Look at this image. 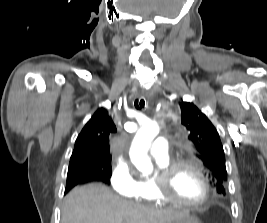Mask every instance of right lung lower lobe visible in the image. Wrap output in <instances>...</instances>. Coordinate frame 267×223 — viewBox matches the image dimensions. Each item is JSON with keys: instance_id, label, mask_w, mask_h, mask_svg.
Segmentation results:
<instances>
[{"instance_id": "98d812e1", "label": "right lung lower lobe", "mask_w": 267, "mask_h": 223, "mask_svg": "<svg viewBox=\"0 0 267 223\" xmlns=\"http://www.w3.org/2000/svg\"><path fill=\"white\" fill-rule=\"evenodd\" d=\"M92 180L102 181L106 183L108 181V178L102 175L101 173L97 172L81 171L73 173L67 176L65 193H67L72 187H74L77 184H81Z\"/></svg>"}]
</instances>
